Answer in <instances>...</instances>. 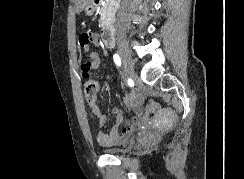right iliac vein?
Instances as JSON below:
<instances>
[{"label":"right iliac vein","mask_w":244,"mask_h":179,"mask_svg":"<svg viewBox=\"0 0 244 179\" xmlns=\"http://www.w3.org/2000/svg\"><path fill=\"white\" fill-rule=\"evenodd\" d=\"M118 52L122 60L125 76L133 78L135 76V72L129 51L126 47L119 45Z\"/></svg>","instance_id":"63e3f726"}]
</instances>
